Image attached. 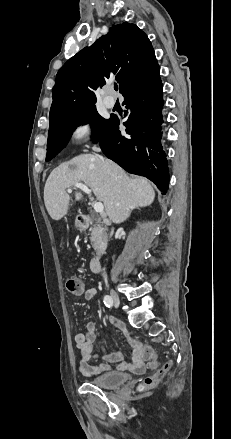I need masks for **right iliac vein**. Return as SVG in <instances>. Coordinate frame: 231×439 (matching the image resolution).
Segmentation results:
<instances>
[{
    "mask_svg": "<svg viewBox=\"0 0 231 439\" xmlns=\"http://www.w3.org/2000/svg\"><path fill=\"white\" fill-rule=\"evenodd\" d=\"M110 297L112 298L114 306L118 307L120 305V298H119L118 294L114 290H111Z\"/></svg>",
    "mask_w": 231,
    "mask_h": 439,
    "instance_id": "obj_1",
    "label": "right iliac vein"
}]
</instances>
